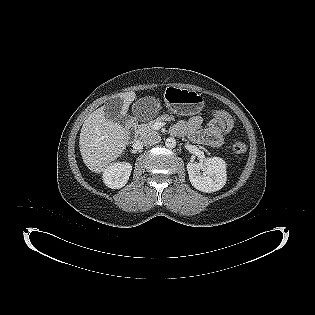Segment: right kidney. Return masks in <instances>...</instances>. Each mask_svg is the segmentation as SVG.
<instances>
[{"label":"right kidney","instance_id":"obj_1","mask_svg":"<svg viewBox=\"0 0 315 315\" xmlns=\"http://www.w3.org/2000/svg\"><path fill=\"white\" fill-rule=\"evenodd\" d=\"M132 166L129 163H115L103 173V181L109 188L120 189L126 185Z\"/></svg>","mask_w":315,"mask_h":315}]
</instances>
